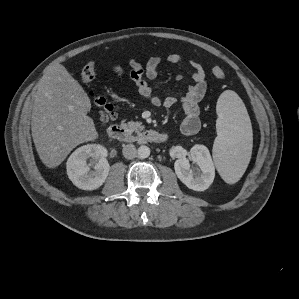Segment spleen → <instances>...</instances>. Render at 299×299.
<instances>
[{
  "label": "spleen",
  "mask_w": 299,
  "mask_h": 299,
  "mask_svg": "<svg viewBox=\"0 0 299 299\" xmlns=\"http://www.w3.org/2000/svg\"><path fill=\"white\" fill-rule=\"evenodd\" d=\"M216 112L213 159L223 180L234 184L243 176L251 158L252 126L243 101L232 90L219 96Z\"/></svg>",
  "instance_id": "spleen-1"
}]
</instances>
